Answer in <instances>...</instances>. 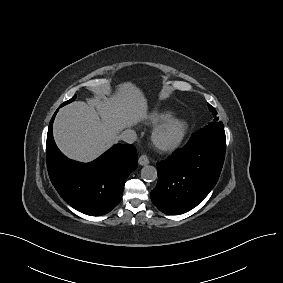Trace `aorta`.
I'll return each mask as SVG.
<instances>
[{"mask_svg":"<svg viewBox=\"0 0 283 283\" xmlns=\"http://www.w3.org/2000/svg\"><path fill=\"white\" fill-rule=\"evenodd\" d=\"M141 178L145 181L152 182L157 179V170L154 166L146 165L141 169Z\"/></svg>","mask_w":283,"mask_h":283,"instance_id":"aorta-1","label":"aorta"}]
</instances>
